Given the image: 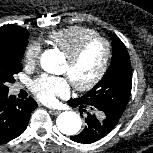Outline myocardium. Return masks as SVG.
<instances>
[{
    "instance_id": "myocardium-1",
    "label": "myocardium",
    "mask_w": 153,
    "mask_h": 153,
    "mask_svg": "<svg viewBox=\"0 0 153 153\" xmlns=\"http://www.w3.org/2000/svg\"><path fill=\"white\" fill-rule=\"evenodd\" d=\"M95 42H102L105 45V57L103 60V63L96 73V75L87 83L85 84H76L72 83L73 87L80 92H87L96 87L100 81L104 78L105 74L108 71V68L111 63L113 49H112V43L107 38L96 35L89 37L82 41L73 51H71L69 54L66 55V59L70 64L75 63L85 52V50L93 43Z\"/></svg>"
}]
</instances>
